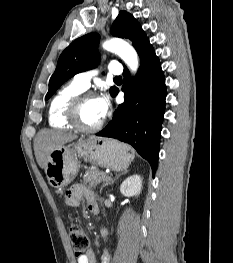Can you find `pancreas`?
Listing matches in <instances>:
<instances>
[{"label": "pancreas", "instance_id": "pancreas-1", "mask_svg": "<svg viewBox=\"0 0 233 263\" xmlns=\"http://www.w3.org/2000/svg\"><path fill=\"white\" fill-rule=\"evenodd\" d=\"M109 178L105 172L100 170H90L83 176L84 183L88 184L89 188H95L99 182Z\"/></svg>", "mask_w": 233, "mask_h": 263}]
</instances>
